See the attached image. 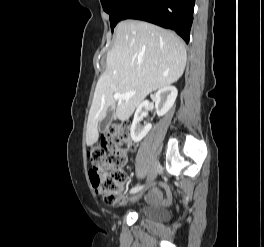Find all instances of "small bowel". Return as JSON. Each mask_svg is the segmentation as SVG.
<instances>
[{
  "mask_svg": "<svg viewBox=\"0 0 264 247\" xmlns=\"http://www.w3.org/2000/svg\"><path fill=\"white\" fill-rule=\"evenodd\" d=\"M170 199H171L170 191H165L157 187L153 188L147 195V200L152 203H155V202L167 203L170 201Z\"/></svg>",
  "mask_w": 264,
  "mask_h": 247,
  "instance_id": "1",
  "label": "small bowel"
}]
</instances>
